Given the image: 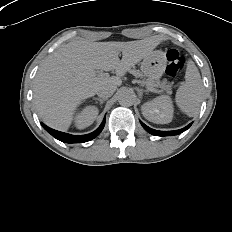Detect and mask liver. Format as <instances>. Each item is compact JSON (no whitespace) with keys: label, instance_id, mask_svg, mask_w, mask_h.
Instances as JSON below:
<instances>
[{"label":"liver","instance_id":"6515ba94","mask_svg":"<svg viewBox=\"0 0 232 232\" xmlns=\"http://www.w3.org/2000/svg\"><path fill=\"white\" fill-rule=\"evenodd\" d=\"M157 44L153 38L133 42L71 40L45 60L36 76L34 98L41 120L51 128L66 130L77 103L94 96L103 81L120 83L119 78H101L97 69L122 73Z\"/></svg>","mask_w":232,"mask_h":232}]
</instances>
